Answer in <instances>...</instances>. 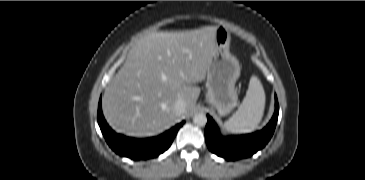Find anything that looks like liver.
I'll list each match as a JSON object with an SVG mask.
<instances>
[{"instance_id": "obj_1", "label": "liver", "mask_w": 365, "mask_h": 180, "mask_svg": "<svg viewBox=\"0 0 365 180\" xmlns=\"http://www.w3.org/2000/svg\"><path fill=\"white\" fill-rule=\"evenodd\" d=\"M214 26L190 31L153 32L141 38L105 88L103 114L129 136L159 134L175 124L174 104L182 98L188 114L200 95L215 50Z\"/></svg>"}]
</instances>
